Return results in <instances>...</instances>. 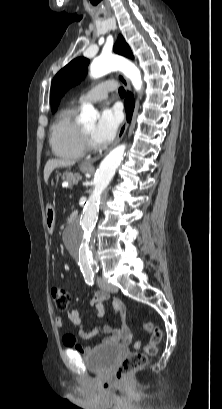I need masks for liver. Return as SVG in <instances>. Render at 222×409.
Segmentation results:
<instances>
[{"mask_svg":"<svg viewBox=\"0 0 222 409\" xmlns=\"http://www.w3.org/2000/svg\"><path fill=\"white\" fill-rule=\"evenodd\" d=\"M75 161L69 159H50L46 162L44 167V180L48 183V179L52 171L59 167L73 166Z\"/></svg>","mask_w":222,"mask_h":409,"instance_id":"obj_1","label":"liver"}]
</instances>
